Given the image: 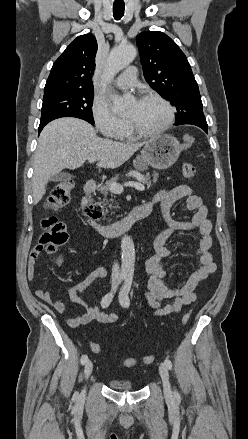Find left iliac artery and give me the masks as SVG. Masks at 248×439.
Returning <instances> with one entry per match:
<instances>
[{
    "instance_id": "obj_1",
    "label": "left iliac artery",
    "mask_w": 248,
    "mask_h": 439,
    "mask_svg": "<svg viewBox=\"0 0 248 439\" xmlns=\"http://www.w3.org/2000/svg\"><path fill=\"white\" fill-rule=\"evenodd\" d=\"M132 280H133L132 274H128L125 278V283H124V285L120 291V294H119L120 304L125 308H128L130 305V299H129L128 293H129L130 288H131ZM164 364L168 369H170V370L172 369V362L170 359L166 358L164 360ZM175 396H178V392H176V391H175Z\"/></svg>"
}]
</instances>
